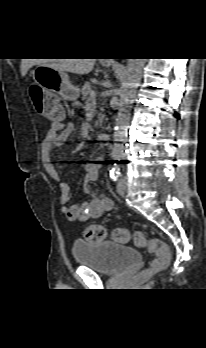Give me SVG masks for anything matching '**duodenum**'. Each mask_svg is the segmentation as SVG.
Returning <instances> with one entry per match:
<instances>
[{"mask_svg":"<svg viewBox=\"0 0 206 348\" xmlns=\"http://www.w3.org/2000/svg\"><path fill=\"white\" fill-rule=\"evenodd\" d=\"M110 139V134L108 132H101L98 135V140L100 142H106Z\"/></svg>","mask_w":206,"mask_h":348,"instance_id":"1","label":"duodenum"}]
</instances>
